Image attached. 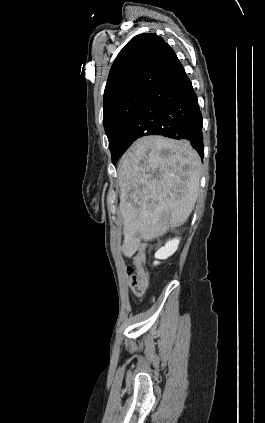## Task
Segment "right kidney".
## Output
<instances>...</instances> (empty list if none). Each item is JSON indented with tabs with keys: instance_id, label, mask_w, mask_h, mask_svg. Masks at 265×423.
Masks as SVG:
<instances>
[{
	"instance_id": "right-kidney-1",
	"label": "right kidney",
	"mask_w": 265,
	"mask_h": 423,
	"mask_svg": "<svg viewBox=\"0 0 265 423\" xmlns=\"http://www.w3.org/2000/svg\"><path fill=\"white\" fill-rule=\"evenodd\" d=\"M180 243L179 238H175L173 240L168 241L164 247H161L156 253L155 258L164 260L172 256L176 250L178 249V245ZM159 261H155L154 265H158Z\"/></svg>"
}]
</instances>
